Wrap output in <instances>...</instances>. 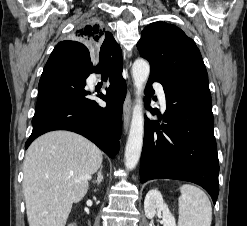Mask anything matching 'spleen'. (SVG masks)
I'll return each instance as SVG.
<instances>
[{
  "label": "spleen",
  "mask_w": 247,
  "mask_h": 226,
  "mask_svg": "<svg viewBox=\"0 0 247 226\" xmlns=\"http://www.w3.org/2000/svg\"><path fill=\"white\" fill-rule=\"evenodd\" d=\"M179 226H211L212 207L207 195L198 187H180Z\"/></svg>",
  "instance_id": "1"
}]
</instances>
